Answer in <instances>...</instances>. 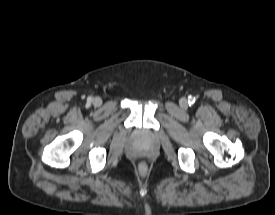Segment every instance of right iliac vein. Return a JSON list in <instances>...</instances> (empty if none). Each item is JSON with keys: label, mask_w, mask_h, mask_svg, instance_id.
Masks as SVG:
<instances>
[{"label": "right iliac vein", "mask_w": 275, "mask_h": 215, "mask_svg": "<svg viewBox=\"0 0 275 215\" xmlns=\"http://www.w3.org/2000/svg\"><path fill=\"white\" fill-rule=\"evenodd\" d=\"M101 104H102L101 98L96 97V98L93 99V105L94 106L99 107V106H101Z\"/></svg>", "instance_id": "1"}]
</instances>
